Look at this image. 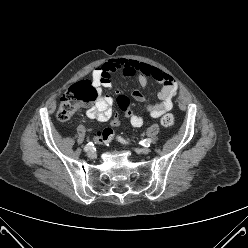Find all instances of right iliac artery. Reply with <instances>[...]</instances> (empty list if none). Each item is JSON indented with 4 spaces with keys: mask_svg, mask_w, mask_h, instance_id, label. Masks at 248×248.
<instances>
[{
    "mask_svg": "<svg viewBox=\"0 0 248 248\" xmlns=\"http://www.w3.org/2000/svg\"><path fill=\"white\" fill-rule=\"evenodd\" d=\"M93 143L92 142H89L88 144H86V146L84 147V151H89L93 148Z\"/></svg>",
    "mask_w": 248,
    "mask_h": 248,
    "instance_id": "right-iliac-artery-1",
    "label": "right iliac artery"
}]
</instances>
